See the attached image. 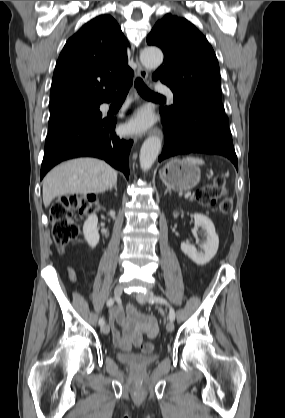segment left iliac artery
Here are the masks:
<instances>
[{
  "mask_svg": "<svg viewBox=\"0 0 285 418\" xmlns=\"http://www.w3.org/2000/svg\"><path fill=\"white\" fill-rule=\"evenodd\" d=\"M150 303H159V304H164L166 306L169 307V320L170 321H174L175 320V311L174 309L170 306V304L168 303V301L160 296H156V297H152L151 299H149Z\"/></svg>",
  "mask_w": 285,
  "mask_h": 418,
  "instance_id": "44dca946",
  "label": "left iliac artery"
}]
</instances>
